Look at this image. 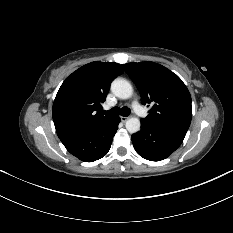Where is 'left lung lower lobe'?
<instances>
[{
  "label": "left lung lower lobe",
  "mask_w": 233,
  "mask_h": 233,
  "mask_svg": "<svg viewBox=\"0 0 233 233\" xmlns=\"http://www.w3.org/2000/svg\"><path fill=\"white\" fill-rule=\"evenodd\" d=\"M185 135L168 129L153 126L141 120V131L132 135L136 152L150 161L167 158L183 142Z\"/></svg>",
  "instance_id": "1"
}]
</instances>
